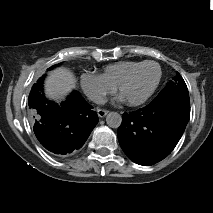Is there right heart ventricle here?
I'll return each mask as SVG.
<instances>
[{"label":"right heart ventricle","instance_id":"right-heart-ventricle-1","mask_svg":"<svg viewBox=\"0 0 213 213\" xmlns=\"http://www.w3.org/2000/svg\"><path fill=\"white\" fill-rule=\"evenodd\" d=\"M139 63L137 61L115 62L105 66L100 75L115 88L122 77Z\"/></svg>","mask_w":213,"mask_h":213}]
</instances>
